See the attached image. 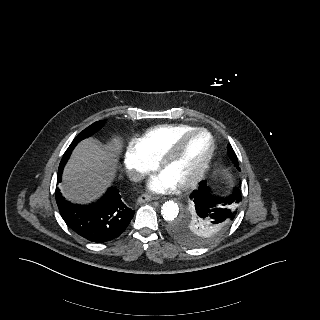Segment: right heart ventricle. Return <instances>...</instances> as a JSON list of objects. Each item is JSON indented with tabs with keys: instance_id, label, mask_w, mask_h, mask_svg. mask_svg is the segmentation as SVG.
I'll return each mask as SVG.
<instances>
[{
	"instance_id": "obj_1",
	"label": "right heart ventricle",
	"mask_w": 320,
	"mask_h": 320,
	"mask_svg": "<svg viewBox=\"0 0 320 320\" xmlns=\"http://www.w3.org/2000/svg\"><path fill=\"white\" fill-rule=\"evenodd\" d=\"M186 124L159 125L136 139V147L149 159L157 162L181 134L193 129Z\"/></svg>"
}]
</instances>
